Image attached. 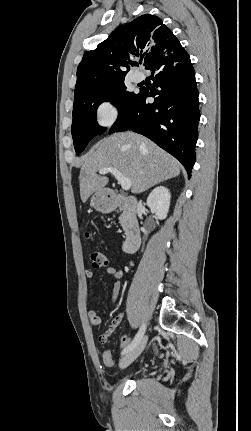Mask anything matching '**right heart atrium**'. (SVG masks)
Masks as SVG:
<instances>
[{
  "label": "right heart atrium",
  "mask_w": 251,
  "mask_h": 431,
  "mask_svg": "<svg viewBox=\"0 0 251 431\" xmlns=\"http://www.w3.org/2000/svg\"><path fill=\"white\" fill-rule=\"evenodd\" d=\"M119 115L117 105L109 100L98 103L94 110L95 122L101 128L112 126Z\"/></svg>",
  "instance_id": "right-heart-atrium-1"
}]
</instances>
